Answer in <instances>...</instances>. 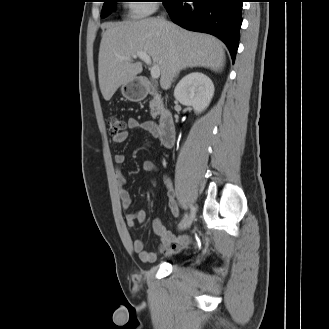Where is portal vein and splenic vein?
<instances>
[{"mask_svg": "<svg viewBox=\"0 0 329 329\" xmlns=\"http://www.w3.org/2000/svg\"><path fill=\"white\" fill-rule=\"evenodd\" d=\"M134 58H139L140 60L144 61L147 65L150 67V74L153 79H157L160 76V69L159 66L156 64H152L151 58L148 54L144 52H137L134 56ZM127 60H130V58H125Z\"/></svg>", "mask_w": 329, "mask_h": 329, "instance_id": "obj_1", "label": "portal vein and splenic vein"}]
</instances>
